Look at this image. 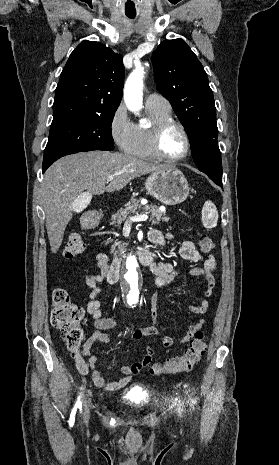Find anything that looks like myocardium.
Returning <instances> with one entry per match:
<instances>
[{
  "mask_svg": "<svg viewBox=\"0 0 279 465\" xmlns=\"http://www.w3.org/2000/svg\"><path fill=\"white\" fill-rule=\"evenodd\" d=\"M172 126L177 127L181 131L183 138H184L183 152L180 155L174 156V157L165 155L161 149L162 135L167 128L172 127ZM150 146L156 158L163 160L165 162L174 163V162L182 161L188 156L190 149H191V140H190L188 131L186 130L185 126L182 123L174 119H166V120L156 123L153 126L151 130Z\"/></svg>",
  "mask_w": 279,
  "mask_h": 465,
  "instance_id": "f54148a6",
  "label": "myocardium"
}]
</instances>
